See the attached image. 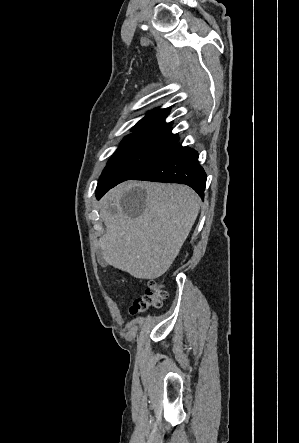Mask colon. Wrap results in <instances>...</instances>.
I'll list each match as a JSON object with an SVG mask.
<instances>
[{
  "label": "colon",
  "instance_id": "1",
  "mask_svg": "<svg viewBox=\"0 0 299 443\" xmlns=\"http://www.w3.org/2000/svg\"><path fill=\"white\" fill-rule=\"evenodd\" d=\"M165 296L166 293L160 283L150 282L145 294L134 301L130 307V312L131 314L136 315L150 309H158L161 307Z\"/></svg>",
  "mask_w": 299,
  "mask_h": 443
}]
</instances>
